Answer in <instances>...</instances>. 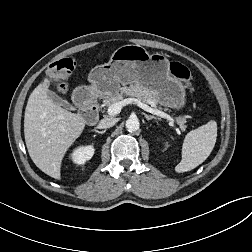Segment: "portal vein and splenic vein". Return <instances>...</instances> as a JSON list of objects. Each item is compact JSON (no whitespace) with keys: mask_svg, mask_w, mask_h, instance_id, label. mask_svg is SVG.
<instances>
[{"mask_svg":"<svg viewBox=\"0 0 252 252\" xmlns=\"http://www.w3.org/2000/svg\"><path fill=\"white\" fill-rule=\"evenodd\" d=\"M130 104L137 105L138 107H140L144 111L149 112V113L154 114V115H157V116H159L161 118H164V119L170 121V123H172V124L175 123V120L169 114H167V113H165V112H163L161 110H158L156 108H152V107L144 104L143 102H141L140 100H138L136 98H126V99H123L120 102L112 104L108 108L107 113L110 116H115V115H117V114H119L121 112L122 107L130 105Z\"/></svg>","mask_w":252,"mask_h":252,"instance_id":"portal-vein-and-splenic-vein-1","label":"portal vein and splenic vein"}]
</instances>
